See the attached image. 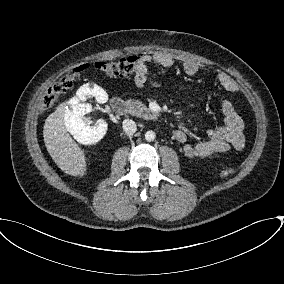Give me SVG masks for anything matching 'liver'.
Instances as JSON below:
<instances>
[{"label": "liver", "mask_w": 284, "mask_h": 284, "mask_svg": "<svg viewBox=\"0 0 284 284\" xmlns=\"http://www.w3.org/2000/svg\"><path fill=\"white\" fill-rule=\"evenodd\" d=\"M65 103H61L45 120L44 143L57 166L66 174L82 177L86 174L84 151L68 134L65 124Z\"/></svg>", "instance_id": "liver-1"}]
</instances>
